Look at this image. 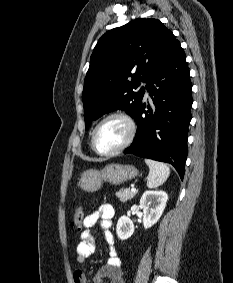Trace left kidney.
<instances>
[{
	"mask_svg": "<svg viewBox=\"0 0 233 283\" xmlns=\"http://www.w3.org/2000/svg\"><path fill=\"white\" fill-rule=\"evenodd\" d=\"M168 195L164 191H146L140 199V207L143 209V225L145 229L153 226L161 217ZM134 225L128 216H122L117 222L116 233L121 240L132 236Z\"/></svg>",
	"mask_w": 233,
	"mask_h": 283,
	"instance_id": "5707ae66",
	"label": "left kidney"
}]
</instances>
